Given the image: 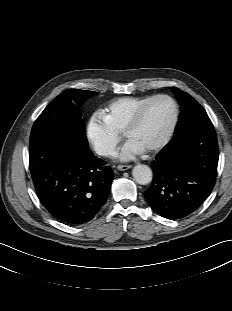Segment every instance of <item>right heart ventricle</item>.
<instances>
[{
    "label": "right heart ventricle",
    "mask_w": 232,
    "mask_h": 311,
    "mask_svg": "<svg viewBox=\"0 0 232 311\" xmlns=\"http://www.w3.org/2000/svg\"><path fill=\"white\" fill-rule=\"evenodd\" d=\"M152 96H126L109 102L105 107L104 118L117 133L124 131L136 110Z\"/></svg>",
    "instance_id": "1"
}]
</instances>
